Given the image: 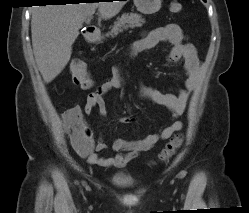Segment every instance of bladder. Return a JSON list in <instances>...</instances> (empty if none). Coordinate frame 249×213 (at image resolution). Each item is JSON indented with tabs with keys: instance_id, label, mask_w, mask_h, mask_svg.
Segmentation results:
<instances>
[{
	"instance_id": "1",
	"label": "bladder",
	"mask_w": 249,
	"mask_h": 213,
	"mask_svg": "<svg viewBox=\"0 0 249 213\" xmlns=\"http://www.w3.org/2000/svg\"><path fill=\"white\" fill-rule=\"evenodd\" d=\"M111 182L118 187H129L133 184L132 178L124 172H116L113 174Z\"/></svg>"
}]
</instances>
